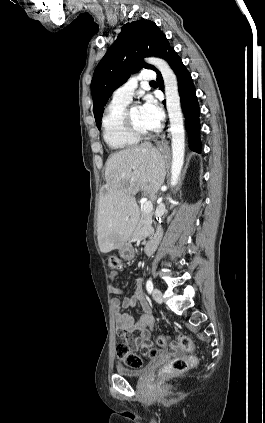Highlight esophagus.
<instances>
[{
  "label": "esophagus",
  "mask_w": 265,
  "mask_h": 423,
  "mask_svg": "<svg viewBox=\"0 0 265 423\" xmlns=\"http://www.w3.org/2000/svg\"><path fill=\"white\" fill-rule=\"evenodd\" d=\"M160 146H165L167 144V141L165 139V137H162L159 141Z\"/></svg>",
  "instance_id": "esophagus-1"
}]
</instances>
